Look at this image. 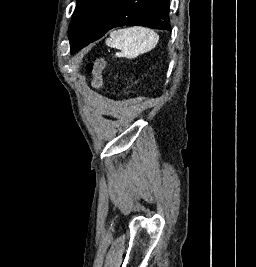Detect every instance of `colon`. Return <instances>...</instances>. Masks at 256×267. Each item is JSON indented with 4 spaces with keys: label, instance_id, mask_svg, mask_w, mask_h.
<instances>
[{
    "label": "colon",
    "instance_id": "5ec220e1",
    "mask_svg": "<svg viewBox=\"0 0 256 267\" xmlns=\"http://www.w3.org/2000/svg\"><path fill=\"white\" fill-rule=\"evenodd\" d=\"M105 67L106 62L102 58L92 60L86 65V70L92 77V86L97 91L103 87Z\"/></svg>",
    "mask_w": 256,
    "mask_h": 267
}]
</instances>
